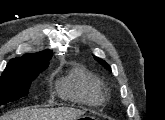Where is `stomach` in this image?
Wrapping results in <instances>:
<instances>
[{
    "label": "stomach",
    "mask_w": 165,
    "mask_h": 120,
    "mask_svg": "<svg viewBox=\"0 0 165 120\" xmlns=\"http://www.w3.org/2000/svg\"><path fill=\"white\" fill-rule=\"evenodd\" d=\"M78 119L89 120V119H96V118L91 115H82V116H78L76 118V120H78Z\"/></svg>",
    "instance_id": "1"
}]
</instances>
